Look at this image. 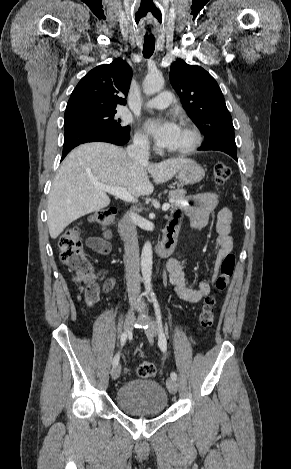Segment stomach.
<instances>
[{
    "label": "stomach",
    "instance_id": "1",
    "mask_svg": "<svg viewBox=\"0 0 291 469\" xmlns=\"http://www.w3.org/2000/svg\"><path fill=\"white\" fill-rule=\"evenodd\" d=\"M205 170L196 162L191 161L185 164L177 174V178L182 184H195L203 179Z\"/></svg>",
    "mask_w": 291,
    "mask_h": 469
}]
</instances>
